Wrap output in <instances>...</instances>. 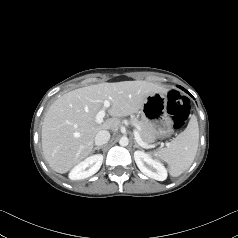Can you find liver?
<instances>
[{"mask_svg": "<svg viewBox=\"0 0 238 238\" xmlns=\"http://www.w3.org/2000/svg\"><path fill=\"white\" fill-rule=\"evenodd\" d=\"M166 89L146 81L100 83L70 91L47 110L42 125V150L50 167L67 173L93 151L101 130H114L120 118L137 113L149 95ZM109 100L112 118L96 122V114Z\"/></svg>", "mask_w": 238, "mask_h": 238, "instance_id": "6515ba94", "label": "liver"}]
</instances>
